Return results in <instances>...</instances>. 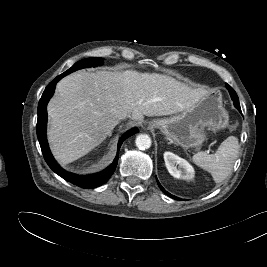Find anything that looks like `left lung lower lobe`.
Instances as JSON below:
<instances>
[{
	"label": "left lung lower lobe",
	"instance_id": "1",
	"mask_svg": "<svg viewBox=\"0 0 267 267\" xmlns=\"http://www.w3.org/2000/svg\"><path fill=\"white\" fill-rule=\"evenodd\" d=\"M227 89H228V91H229V93H230V95H231V98H232L233 102H234V106L241 112V108H240V104H239V100H238V96H237L236 92H235V91L233 90V88H232L231 86H229L228 84H227ZM157 183H158L160 189H161L165 194H167L168 196L172 197L173 199H177V200H179L178 197L173 196V195H171L170 193H168L167 191H165V189L160 185V183L158 182V180H157Z\"/></svg>",
	"mask_w": 267,
	"mask_h": 267
}]
</instances>
